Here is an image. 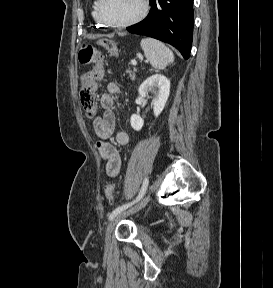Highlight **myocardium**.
I'll return each instance as SVG.
<instances>
[{"label": "myocardium", "mask_w": 273, "mask_h": 288, "mask_svg": "<svg viewBox=\"0 0 273 288\" xmlns=\"http://www.w3.org/2000/svg\"><path fill=\"white\" fill-rule=\"evenodd\" d=\"M105 0H98L97 4V16L100 22L108 27L112 28H125L132 26L140 21H142L148 14L149 11V4L147 0H141V11L134 16L133 18L123 21V22H112L107 20L103 15V4Z\"/></svg>", "instance_id": "1"}]
</instances>
